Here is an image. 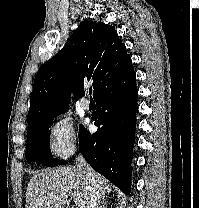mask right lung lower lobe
<instances>
[{
    "mask_svg": "<svg viewBox=\"0 0 199 208\" xmlns=\"http://www.w3.org/2000/svg\"><path fill=\"white\" fill-rule=\"evenodd\" d=\"M137 96L135 74L99 93L94 98L97 112L92 115L98 130L91 134L83 128L79 135L85 160L126 194L131 191Z\"/></svg>",
    "mask_w": 199,
    "mask_h": 208,
    "instance_id": "right-lung-lower-lobe-1",
    "label": "right lung lower lobe"
}]
</instances>
